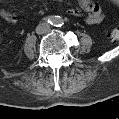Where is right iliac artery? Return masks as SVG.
<instances>
[{"label": "right iliac artery", "mask_w": 119, "mask_h": 119, "mask_svg": "<svg viewBox=\"0 0 119 119\" xmlns=\"http://www.w3.org/2000/svg\"><path fill=\"white\" fill-rule=\"evenodd\" d=\"M43 20H45V21H47L48 23H51V24H53L57 21V19L54 18V17H46Z\"/></svg>", "instance_id": "right-iliac-artery-1"}]
</instances>
